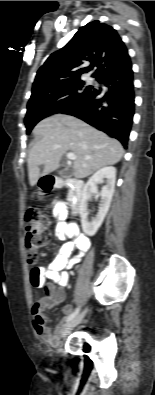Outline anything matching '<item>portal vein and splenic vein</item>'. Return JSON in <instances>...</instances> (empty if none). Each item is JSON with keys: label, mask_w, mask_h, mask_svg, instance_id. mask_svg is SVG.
Listing matches in <instances>:
<instances>
[{"label": "portal vein and splenic vein", "mask_w": 155, "mask_h": 395, "mask_svg": "<svg viewBox=\"0 0 155 395\" xmlns=\"http://www.w3.org/2000/svg\"><path fill=\"white\" fill-rule=\"evenodd\" d=\"M67 158L69 159V160H75L76 159V156L73 154V153H68L67 154Z\"/></svg>", "instance_id": "obj_1"}]
</instances>
